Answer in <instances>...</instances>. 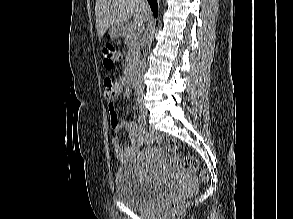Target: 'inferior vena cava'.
<instances>
[{
  "mask_svg": "<svg viewBox=\"0 0 293 219\" xmlns=\"http://www.w3.org/2000/svg\"><path fill=\"white\" fill-rule=\"evenodd\" d=\"M145 67H146V62H145V58H143L142 61L140 62V66L138 69V73H137L138 78L142 76L143 72L145 71Z\"/></svg>",
  "mask_w": 293,
  "mask_h": 219,
  "instance_id": "obj_1",
  "label": "inferior vena cava"
}]
</instances>
